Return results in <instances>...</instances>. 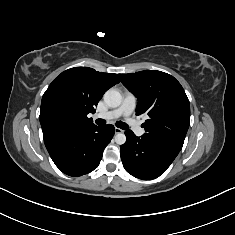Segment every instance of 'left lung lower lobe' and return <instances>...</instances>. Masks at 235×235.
Instances as JSON below:
<instances>
[{
	"label": "left lung lower lobe",
	"mask_w": 235,
	"mask_h": 235,
	"mask_svg": "<svg viewBox=\"0 0 235 235\" xmlns=\"http://www.w3.org/2000/svg\"><path fill=\"white\" fill-rule=\"evenodd\" d=\"M126 143L120 149L125 170L132 176L151 180L163 174L181 149L146 136L141 138L128 130Z\"/></svg>",
	"instance_id": "obj_1"
}]
</instances>
